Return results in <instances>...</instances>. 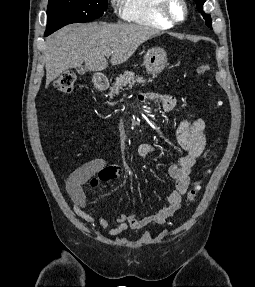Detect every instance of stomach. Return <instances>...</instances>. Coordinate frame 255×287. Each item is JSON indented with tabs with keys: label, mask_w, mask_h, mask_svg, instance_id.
<instances>
[{
	"label": "stomach",
	"mask_w": 255,
	"mask_h": 287,
	"mask_svg": "<svg viewBox=\"0 0 255 287\" xmlns=\"http://www.w3.org/2000/svg\"><path fill=\"white\" fill-rule=\"evenodd\" d=\"M167 52L163 48H150L144 56V66L148 74H160L167 64Z\"/></svg>",
	"instance_id": "obj_1"
}]
</instances>
